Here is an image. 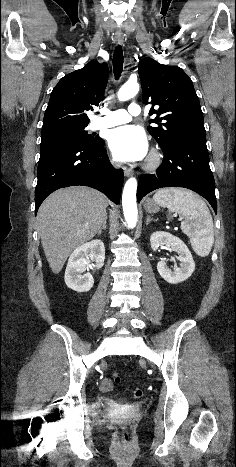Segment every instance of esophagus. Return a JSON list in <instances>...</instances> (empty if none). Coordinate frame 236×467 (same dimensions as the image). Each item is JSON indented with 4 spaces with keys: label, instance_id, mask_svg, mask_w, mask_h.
Segmentation results:
<instances>
[{
    "label": "esophagus",
    "instance_id": "1",
    "mask_svg": "<svg viewBox=\"0 0 236 467\" xmlns=\"http://www.w3.org/2000/svg\"><path fill=\"white\" fill-rule=\"evenodd\" d=\"M116 42H117V44L122 45L123 42H124V40H123L122 37H116ZM123 171H124V175H125L126 177H129V176H131V175L133 174L132 169L127 168V167H124V168H123Z\"/></svg>",
    "mask_w": 236,
    "mask_h": 467
}]
</instances>
